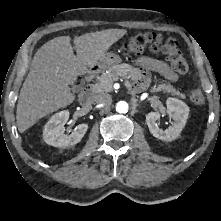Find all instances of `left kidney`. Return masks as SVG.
I'll return each instance as SVG.
<instances>
[{"label": "left kidney", "mask_w": 221, "mask_h": 221, "mask_svg": "<svg viewBox=\"0 0 221 221\" xmlns=\"http://www.w3.org/2000/svg\"><path fill=\"white\" fill-rule=\"evenodd\" d=\"M167 113L175 121V124L166 130L159 128L156 121L160 119L161 114L159 112H150L146 115V123L148 125L151 134L163 141H173L181 133L184 128L188 115L189 107L181 100L175 98H169L166 102Z\"/></svg>", "instance_id": "obj_1"}]
</instances>
